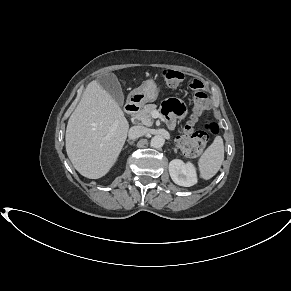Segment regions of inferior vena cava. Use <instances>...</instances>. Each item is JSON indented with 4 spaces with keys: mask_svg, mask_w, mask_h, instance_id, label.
I'll use <instances>...</instances> for the list:
<instances>
[{
    "mask_svg": "<svg viewBox=\"0 0 291 291\" xmlns=\"http://www.w3.org/2000/svg\"><path fill=\"white\" fill-rule=\"evenodd\" d=\"M147 132H148V129L144 126H134L129 131V137L133 139L139 138L146 135Z\"/></svg>",
    "mask_w": 291,
    "mask_h": 291,
    "instance_id": "602c4592",
    "label": "inferior vena cava"
}]
</instances>
